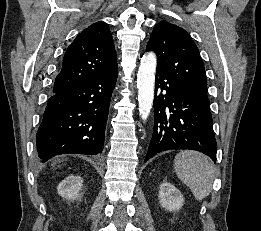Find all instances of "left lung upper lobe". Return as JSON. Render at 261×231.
Masks as SVG:
<instances>
[{
	"instance_id": "5c2ea615",
	"label": "left lung upper lobe",
	"mask_w": 261,
	"mask_h": 231,
	"mask_svg": "<svg viewBox=\"0 0 261 231\" xmlns=\"http://www.w3.org/2000/svg\"><path fill=\"white\" fill-rule=\"evenodd\" d=\"M147 51L157 55V70L176 81L190 96L209 102L204 64L188 33L167 21L154 26Z\"/></svg>"
}]
</instances>
